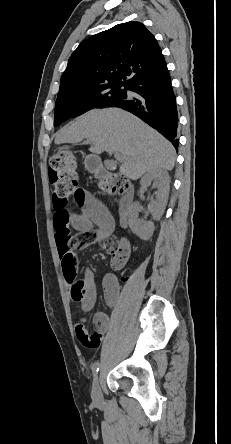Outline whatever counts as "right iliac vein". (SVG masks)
<instances>
[{
	"label": "right iliac vein",
	"instance_id": "right-iliac-vein-1",
	"mask_svg": "<svg viewBox=\"0 0 231 444\" xmlns=\"http://www.w3.org/2000/svg\"><path fill=\"white\" fill-rule=\"evenodd\" d=\"M91 396L96 404L102 403L103 398L98 377H95L93 381Z\"/></svg>",
	"mask_w": 231,
	"mask_h": 444
}]
</instances>
